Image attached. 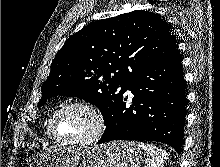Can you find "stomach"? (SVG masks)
<instances>
[{"label": "stomach", "instance_id": "obj_1", "mask_svg": "<svg viewBox=\"0 0 220 167\" xmlns=\"http://www.w3.org/2000/svg\"><path fill=\"white\" fill-rule=\"evenodd\" d=\"M29 167H140L142 152L130 141L86 148H57L32 144L26 151Z\"/></svg>", "mask_w": 220, "mask_h": 167}]
</instances>
